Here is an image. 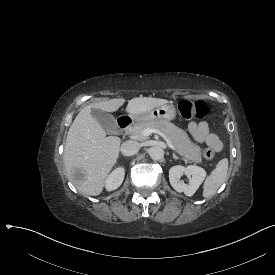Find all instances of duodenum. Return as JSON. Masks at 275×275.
<instances>
[{
	"label": "duodenum",
	"mask_w": 275,
	"mask_h": 275,
	"mask_svg": "<svg viewBox=\"0 0 275 275\" xmlns=\"http://www.w3.org/2000/svg\"><path fill=\"white\" fill-rule=\"evenodd\" d=\"M132 119L130 116L124 115L118 118L117 125L121 131H125L131 125Z\"/></svg>",
	"instance_id": "410a0bca"
}]
</instances>
